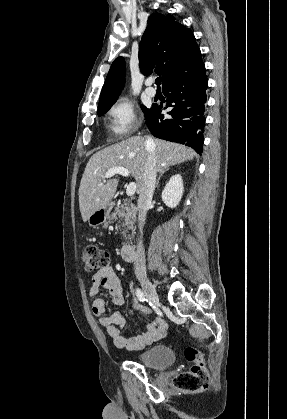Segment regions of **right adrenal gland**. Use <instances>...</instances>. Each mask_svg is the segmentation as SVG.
I'll return each mask as SVG.
<instances>
[{
  "label": "right adrenal gland",
  "instance_id": "obj_1",
  "mask_svg": "<svg viewBox=\"0 0 287 419\" xmlns=\"http://www.w3.org/2000/svg\"><path fill=\"white\" fill-rule=\"evenodd\" d=\"M168 170H170V167L169 166H167V167H164L161 171H160V175H159V177H158V179H157V182H156V188H158V186H159V181H160V179H161V177L163 176V174L165 173V172H167Z\"/></svg>",
  "mask_w": 287,
  "mask_h": 419
}]
</instances>
